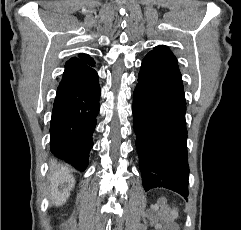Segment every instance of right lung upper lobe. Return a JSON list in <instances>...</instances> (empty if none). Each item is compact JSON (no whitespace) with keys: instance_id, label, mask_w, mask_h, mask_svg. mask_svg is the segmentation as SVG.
Listing matches in <instances>:
<instances>
[{"instance_id":"1","label":"right lung upper lobe","mask_w":241,"mask_h":230,"mask_svg":"<svg viewBox=\"0 0 241 230\" xmlns=\"http://www.w3.org/2000/svg\"><path fill=\"white\" fill-rule=\"evenodd\" d=\"M73 59H75L76 61L84 64V65H94V61L92 58H90L88 55L86 54H80L79 58L74 57Z\"/></svg>"}]
</instances>
